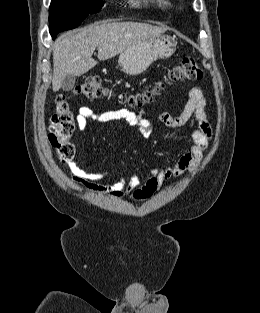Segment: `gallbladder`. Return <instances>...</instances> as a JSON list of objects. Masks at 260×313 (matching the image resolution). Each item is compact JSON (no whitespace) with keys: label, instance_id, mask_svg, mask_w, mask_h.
<instances>
[{"label":"gallbladder","instance_id":"bac80fb5","mask_svg":"<svg viewBox=\"0 0 260 313\" xmlns=\"http://www.w3.org/2000/svg\"><path fill=\"white\" fill-rule=\"evenodd\" d=\"M76 77L74 75H67L64 77L61 88L63 91H70L75 85Z\"/></svg>","mask_w":260,"mask_h":313}]
</instances>
